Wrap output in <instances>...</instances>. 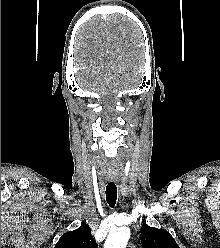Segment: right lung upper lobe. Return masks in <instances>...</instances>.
Listing matches in <instances>:
<instances>
[{
    "label": "right lung upper lobe",
    "mask_w": 220,
    "mask_h": 248,
    "mask_svg": "<svg viewBox=\"0 0 220 248\" xmlns=\"http://www.w3.org/2000/svg\"><path fill=\"white\" fill-rule=\"evenodd\" d=\"M54 248H98L87 224L63 234Z\"/></svg>",
    "instance_id": "cb5924a9"
}]
</instances>
